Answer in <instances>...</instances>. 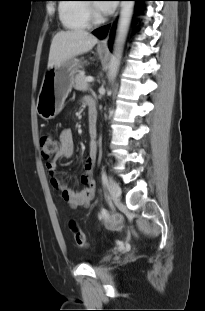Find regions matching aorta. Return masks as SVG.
<instances>
[{
	"instance_id": "762f6f07",
	"label": "aorta",
	"mask_w": 205,
	"mask_h": 311,
	"mask_svg": "<svg viewBox=\"0 0 205 311\" xmlns=\"http://www.w3.org/2000/svg\"><path fill=\"white\" fill-rule=\"evenodd\" d=\"M134 1H121L120 16L117 27V34L113 49V55L109 64V77L113 78L118 70L122 56L123 45L129 30Z\"/></svg>"
}]
</instances>
